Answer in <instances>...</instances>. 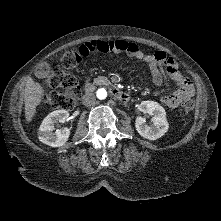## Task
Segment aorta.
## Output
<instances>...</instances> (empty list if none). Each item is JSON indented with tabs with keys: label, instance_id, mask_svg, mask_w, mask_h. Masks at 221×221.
<instances>
[{
	"label": "aorta",
	"instance_id": "obj_1",
	"mask_svg": "<svg viewBox=\"0 0 221 221\" xmlns=\"http://www.w3.org/2000/svg\"><path fill=\"white\" fill-rule=\"evenodd\" d=\"M96 95L98 99H105L107 97V91L104 88L98 89Z\"/></svg>",
	"mask_w": 221,
	"mask_h": 221
}]
</instances>
